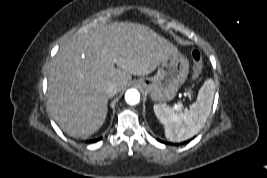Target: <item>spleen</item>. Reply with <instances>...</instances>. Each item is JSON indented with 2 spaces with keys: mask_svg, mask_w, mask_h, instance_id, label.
I'll return each instance as SVG.
<instances>
[{
  "mask_svg": "<svg viewBox=\"0 0 267 178\" xmlns=\"http://www.w3.org/2000/svg\"><path fill=\"white\" fill-rule=\"evenodd\" d=\"M215 92L214 81L208 79L200 88L197 100L183 112L165 104H155L154 113L164 125L165 137L172 142L187 140L196 135L204 126L211 112Z\"/></svg>",
  "mask_w": 267,
  "mask_h": 178,
  "instance_id": "obj_1",
  "label": "spleen"
}]
</instances>
